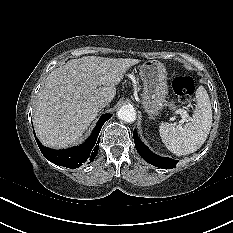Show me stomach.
<instances>
[{
  "mask_svg": "<svg viewBox=\"0 0 233 233\" xmlns=\"http://www.w3.org/2000/svg\"><path fill=\"white\" fill-rule=\"evenodd\" d=\"M139 74L143 81L142 106L150 116H157L167 105L166 68L159 61L149 60L141 65Z\"/></svg>",
  "mask_w": 233,
  "mask_h": 233,
  "instance_id": "obj_1",
  "label": "stomach"
}]
</instances>
